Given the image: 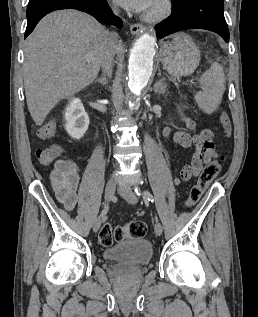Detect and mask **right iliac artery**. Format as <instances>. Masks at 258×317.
<instances>
[{
	"label": "right iliac artery",
	"instance_id": "1",
	"mask_svg": "<svg viewBox=\"0 0 258 317\" xmlns=\"http://www.w3.org/2000/svg\"><path fill=\"white\" fill-rule=\"evenodd\" d=\"M109 204H107L105 207H104V209L102 210V212H101V214H100V216L101 217H103V216H105L106 214H107V212H108V210H109Z\"/></svg>",
	"mask_w": 258,
	"mask_h": 317
}]
</instances>
